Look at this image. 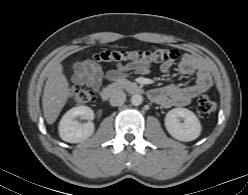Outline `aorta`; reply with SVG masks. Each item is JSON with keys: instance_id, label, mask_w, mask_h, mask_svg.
<instances>
[{"instance_id": "762f6f07", "label": "aorta", "mask_w": 248, "mask_h": 195, "mask_svg": "<svg viewBox=\"0 0 248 195\" xmlns=\"http://www.w3.org/2000/svg\"><path fill=\"white\" fill-rule=\"evenodd\" d=\"M142 102H143V97L140 94H134L131 97V103L134 106H139L142 104Z\"/></svg>"}]
</instances>
